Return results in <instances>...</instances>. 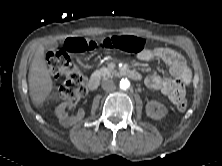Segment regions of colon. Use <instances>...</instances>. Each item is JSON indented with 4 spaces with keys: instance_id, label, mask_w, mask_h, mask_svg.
I'll return each instance as SVG.
<instances>
[{
    "instance_id": "5ec220e1",
    "label": "colon",
    "mask_w": 222,
    "mask_h": 166,
    "mask_svg": "<svg viewBox=\"0 0 222 166\" xmlns=\"http://www.w3.org/2000/svg\"><path fill=\"white\" fill-rule=\"evenodd\" d=\"M145 41L136 36H110L99 42L70 38L65 41L62 51L51 52L47 56L48 69L52 76L64 77V82L57 92L60 100L80 98L85 94V77L80 65L74 62L71 54L81 53L96 48L119 50L126 53H138L144 48ZM179 111L187 108L183 98L177 103Z\"/></svg>"
}]
</instances>
